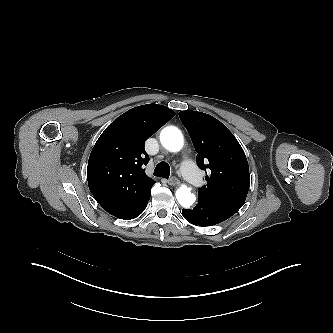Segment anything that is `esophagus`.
<instances>
[{"label":"esophagus","mask_w":333,"mask_h":333,"mask_svg":"<svg viewBox=\"0 0 333 333\" xmlns=\"http://www.w3.org/2000/svg\"><path fill=\"white\" fill-rule=\"evenodd\" d=\"M167 183L171 186H176L179 185L180 182L176 177H172L167 181Z\"/></svg>","instance_id":"34e87169"}]
</instances>
